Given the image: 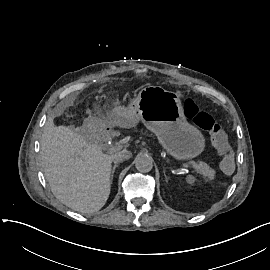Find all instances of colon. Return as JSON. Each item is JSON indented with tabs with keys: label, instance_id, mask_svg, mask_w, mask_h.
Listing matches in <instances>:
<instances>
[{
	"label": "colon",
	"instance_id": "1",
	"mask_svg": "<svg viewBox=\"0 0 270 270\" xmlns=\"http://www.w3.org/2000/svg\"><path fill=\"white\" fill-rule=\"evenodd\" d=\"M186 116L199 128L205 130L211 140L212 145L220 152L222 170L226 174H231L235 170L232 150L228 144L227 135L207 112L202 111L191 101H187L184 106Z\"/></svg>",
	"mask_w": 270,
	"mask_h": 270
}]
</instances>
